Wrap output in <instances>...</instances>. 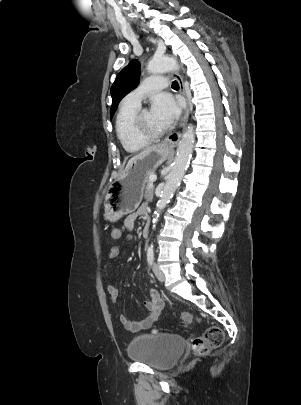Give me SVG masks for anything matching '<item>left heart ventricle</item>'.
Segmentation results:
<instances>
[{
  "mask_svg": "<svg viewBox=\"0 0 301 405\" xmlns=\"http://www.w3.org/2000/svg\"><path fill=\"white\" fill-rule=\"evenodd\" d=\"M143 125L144 128L151 132H159L166 128V126L161 123L152 111H145L143 115Z\"/></svg>",
  "mask_w": 301,
  "mask_h": 405,
  "instance_id": "1",
  "label": "left heart ventricle"
}]
</instances>
